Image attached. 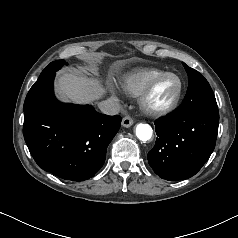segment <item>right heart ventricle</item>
<instances>
[{
    "instance_id": "right-heart-ventricle-1",
    "label": "right heart ventricle",
    "mask_w": 238,
    "mask_h": 238,
    "mask_svg": "<svg viewBox=\"0 0 238 238\" xmlns=\"http://www.w3.org/2000/svg\"><path fill=\"white\" fill-rule=\"evenodd\" d=\"M164 72L158 68H138L126 73L121 78L120 85L127 95L138 97L152 79Z\"/></svg>"
}]
</instances>
